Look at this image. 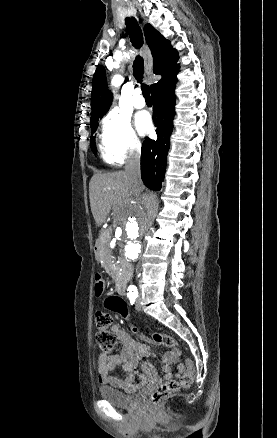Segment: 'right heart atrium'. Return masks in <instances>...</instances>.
<instances>
[{
    "label": "right heart atrium",
    "mask_w": 277,
    "mask_h": 438,
    "mask_svg": "<svg viewBox=\"0 0 277 438\" xmlns=\"http://www.w3.org/2000/svg\"><path fill=\"white\" fill-rule=\"evenodd\" d=\"M106 133L121 159L139 154L141 140L127 115L116 113L106 124Z\"/></svg>",
    "instance_id": "d8ad5b80"
}]
</instances>
